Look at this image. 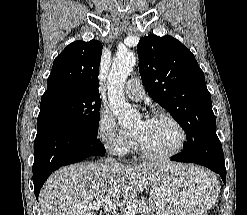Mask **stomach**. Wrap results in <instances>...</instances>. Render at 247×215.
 Masks as SVG:
<instances>
[{"instance_id":"1","label":"stomach","mask_w":247,"mask_h":215,"mask_svg":"<svg viewBox=\"0 0 247 215\" xmlns=\"http://www.w3.org/2000/svg\"><path fill=\"white\" fill-rule=\"evenodd\" d=\"M218 187L209 171L179 165L154 181L149 202L157 215H205L216 201Z\"/></svg>"}]
</instances>
